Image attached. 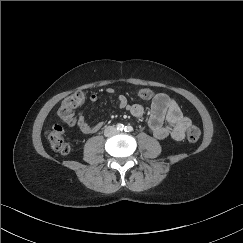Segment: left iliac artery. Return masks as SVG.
Wrapping results in <instances>:
<instances>
[{
	"label": "left iliac artery",
	"mask_w": 243,
	"mask_h": 243,
	"mask_svg": "<svg viewBox=\"0 0 243 243\" xmlns=\"http://www.w3.org/2000/svg\"><path fill=\"white\" fill-rule=\"evenodd\" d=\"M124 130H125V132H132L133 131V127L128 125V126H125Z\"/></svg>",
	"instance_id": "obj_1"
}]
</instances>
